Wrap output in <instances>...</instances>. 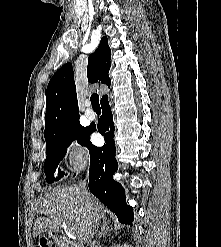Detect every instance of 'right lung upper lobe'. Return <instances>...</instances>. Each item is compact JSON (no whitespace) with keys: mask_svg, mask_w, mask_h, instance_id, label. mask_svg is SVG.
<instances>
[{"mask_svg":"<svg viewBox=\"0 0 221 247\" xmlns=\"http://www.w3.org/2000/svg\"><path fill=\"white\" fill-rule=\"evenodd\" d=\"M111 49L107 37H103L98 48L89 56L88 81H101L110 87L109 69ZM108 96H103L101 101ZM79 122L76 86L71 63L63 65L51 78L46 90L45 138L58 134L69 125Z\"/></svg>","mask_w":221,"mask_h":247,"instance_id":"right-lung-upper-lobe-1","label":"right lung upper lobe"}]
</instances>
